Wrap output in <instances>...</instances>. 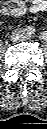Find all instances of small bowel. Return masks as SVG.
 Segmentation results:
<instances>
[{"label": "small bowel", "instance_id": "obj_1", "mask_svg": "<svg viewBox=\"0 0 47 129\" xmlns=\"http://www.w3.org/2000/svg\"><path fill=\"white\" fill-rule=\"evenodd\" d=\"M47 10L46 0H5L1 13L5 16L18 17L26 13H38Z\"/></svg>", "mask_w": 47, "mask_h": 129}]
</instances>
